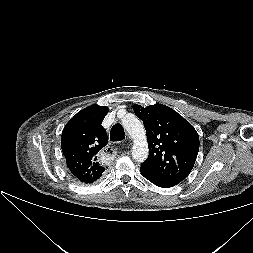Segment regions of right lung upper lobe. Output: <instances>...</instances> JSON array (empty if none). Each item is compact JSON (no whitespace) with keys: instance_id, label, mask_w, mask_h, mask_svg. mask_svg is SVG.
I'll use <instances>...</instances> for the list:
<instances>
[{"instance_id":"1","label":"right lung upper lobe","mask_w":253,"mask_h":253,"mask_svg":"<svg viewBox=\"0 0 253 253\" xmlns=\"http://www.w3.org/2000/svg\"><path fill=\"white\" fill-rule=\"evenodd\" d=\"M107 113V107L91 105L78 112L62 131L61 148L67 167L83 184L96 182L105 171L97 161V153L108 143L101 125Z\"/></svg>"}]
</instances>
